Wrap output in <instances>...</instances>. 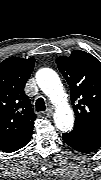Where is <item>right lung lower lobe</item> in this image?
Instances as JSON below:
<instances>
[{"label": "right lung lower lobe", "instance_id": "obj_1", "mask_svg": "<svg viewBox=\"0 0 101 180\" xmlns=\"http://www.w3.org/2000/svg\"><path fill=\"white\" fill-rule=\"evenodd\" d=\"M31 138V137H30ZM30 138L28 139V140H26L23 144H22V146L21 147H19V149L20 148H22V147H24L25 145H27L28 144V142L30 141ZM16 151V150H15Z\"/></svg>", "mask_w": 101, "mask_h": 180}]
</instances>
